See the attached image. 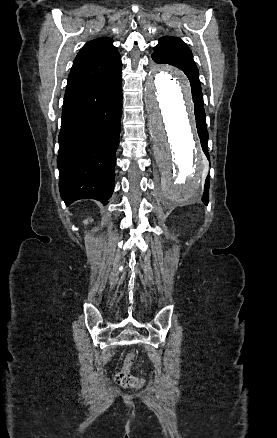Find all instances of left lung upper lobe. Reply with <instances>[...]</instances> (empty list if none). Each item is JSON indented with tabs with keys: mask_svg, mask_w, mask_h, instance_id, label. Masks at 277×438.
<instances>
[{
	"mask_svg": "<svg viewBox=\"0 0 277 438\" xmlns=\"http://www.w3.org/2000/svg\"><path fill=\"white\" fill-rule=\"evenodd\" d=\"M151 55L156 63H165L181 69L190 80L195 112L204 113L203 95L201 91L199 72L193 60L191 50L177 37L165 36L159 39Z\"/></svg>",
	"mask_w": 277,
	"mask_h": 438,
	"instance_id": "obj_1",
	"label": "left lung upper lobe"
}]
</instances>
